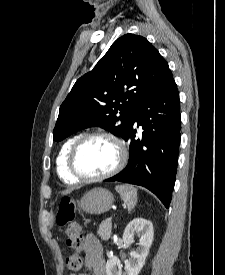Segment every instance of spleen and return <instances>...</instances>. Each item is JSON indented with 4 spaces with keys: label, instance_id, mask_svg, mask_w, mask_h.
<instances>
[{
    "label": "spleen",
    "instance_id": "obj_1",
    "mask_svg": "<svg viewBox=\"0 0 225 275\" xmlns=\"http://www.w3.org/2000/svg\"><path fill=\"white\" fill-rule=\"evenodd\" d=\"M115 190L127 205L128 212H131L137 204V189L131 185H118Z\"/></svg>",
    "mask_w": 225,
    "mask_h": 275
}]
</instances>
